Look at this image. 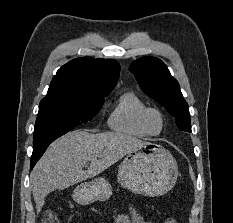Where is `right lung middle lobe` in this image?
I'll return each instance as SVG.
<instances>
[{
	"mask_svg": "<svg viewBox=\"0 0 233 223\" xmlns=\"http://www.w3.org/2000/svg\"><path fill=\"white\" fill-rule=\"evenodd\" d=\"M102 105L103 100L69 96L43 98L35 123L33 155L44 152L55 139L91 120Z\"/></svg>",
	"mask_w": 233,
	"mask_h": 223,
	"instance_id": "obj_1",
	"label": "right lung middle lobe"
}]
</instances>
